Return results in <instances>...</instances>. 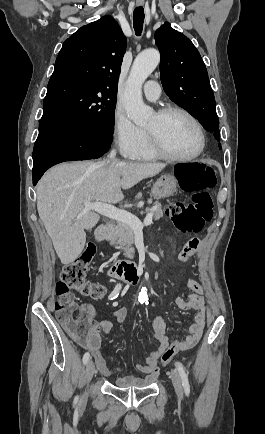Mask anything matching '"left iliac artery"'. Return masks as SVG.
Wrapping results in <instances>:
<instances>
[{"mask_svg": "<svg viewBox=\"0 0 265 434\" xmlns=\"http://www.w3.org/2000/svg\"><path fill=\"white\" fill-rule=\"evenodd\" d=\"M176 367H177L179 375L181 377V381H182V385H183L185 394L188 396L190 393V385H189V381H188V376L185 372V369H184L182 363L176 362Z\"/></svg>", "mask_w": 265, "mask_h": 434, "instance_id": "44dca946", "label": "left iliac artery"}]
</instances>
